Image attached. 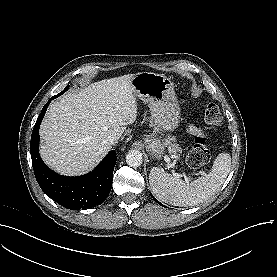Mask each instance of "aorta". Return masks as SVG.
<instances>
[{"instance_id":"obj_1","label":"aorta","mask_w":277,"mask_h":277,"mask_svg":"<svg viewBox=\"0 0 277 277\" xmlns=\"http://www.w3.org/2000/svg\"><path fill=\"white\" fill-rule=\"evenodd\" d=\"M143 162L142 153L139 150H130L126 155V163L130 167H139Z\"/></svg>"}]
</instances>
